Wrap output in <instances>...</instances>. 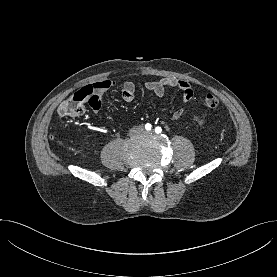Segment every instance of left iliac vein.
<instances>
[{"instance_id":"1","label":"left iliac vein","mask_w":277,"mask_h":277,"mask_svg":"<svg viewBox=\"0 0 277 277\" xmlns=\"http://www.w3.org/2000/svg\"><path fill=\"white\" fill-rule=\"evenodd\" d=\"M146 134H147V135H150V134H152V132H146Z\"/></svg>"}]
</instances>
